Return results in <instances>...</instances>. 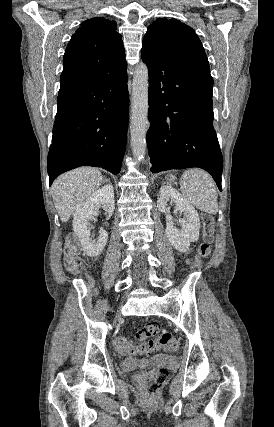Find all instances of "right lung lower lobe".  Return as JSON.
Masks as SVG:
<instances>
[{
	"label": "right lung lower lobe",
	"mask_w": 274,
	"mask_h": 427,
	"mask_svg": "<svg viewBox=\"0 0 274 427\" xmlns=\"http://www.w3.org/2000/svg\"><path fill=\"white\" fill-rule=\"evenodd\" d=\"M126 69L127 63L58 95L47 160L50 185L61 173L79 166L120 172L129 111Z\"/></svg>",
	"instance_id": "98d812e1"
}]
</instances>
